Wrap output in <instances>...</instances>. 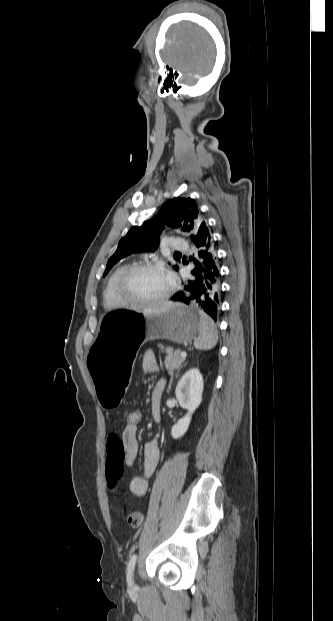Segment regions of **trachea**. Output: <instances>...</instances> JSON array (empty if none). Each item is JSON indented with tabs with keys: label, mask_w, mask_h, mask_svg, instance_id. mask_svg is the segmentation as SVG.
<instances>
[{
	"label": "trachea",
	"mask_w": 333,
	"mask_h": 621,
	"mask_svg": "<svg viewBox=\"0 0 333 621\" xmlns=\"http://www.w3.org/2000/svg\"><path fill=\"white\" fill-rule=\"evenodd\" d=\"M175 254L179 255L180 253L176 252Z\"/></svg>",
	"instance_id": "obj_1"
}]
</instances>
